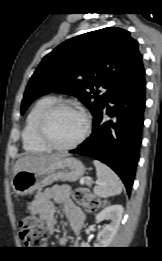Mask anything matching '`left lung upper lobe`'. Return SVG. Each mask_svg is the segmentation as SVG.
Wrapping results in <instances>:
<instances>
[{
  "label": "left lung upper lobe",
  "mask_w": 162,
  "mask_h": 261,
  "mask_svg": "<svg viewBox=\"0 0 162 261\" xmlns=\"http://www.w3.org/2000/svg\"><path fill=\"white\" fill-rule=\"evenodd\" d=\"M141 63L138 42L124 29L107 27L71 38L36 68L25 90L21 114L38 97L55 92L77 97L94 115L113 87ZM100 87L108 91L101 94Z\"/></svg>",
  "instance_id": "1"
}]
</instances>
